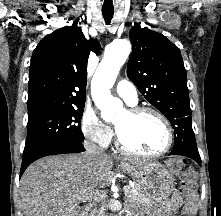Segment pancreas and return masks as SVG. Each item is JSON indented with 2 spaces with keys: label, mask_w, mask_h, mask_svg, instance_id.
<instances>
[{
  "label": "pancreas",
  "mask_w": 221,
  "mask_h": 216,
  "mask_svg": "<svg viewBox=\"0 0 221 216\" xmlns=\"http://www.w3.org/2000/svg\"><path fill=\"white\" fill-rule=\"evenodd\" d=\"M127 201L130 203H134L137 205H145L151 202V200L145 196L141 187L135 184L134 188H130L125 192ZM90 216H94V214H90ZM96 216H103V210H101Z\"/></svg>",
  "instance_id": "obj_1"
}]
</instances>
